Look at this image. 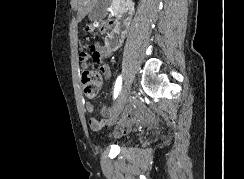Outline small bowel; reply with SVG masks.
Masks as SVG:
<instances>
[{"instance_id": "c3829d8e", "label": "small bowel", "mask_w": 244, "mask_h": 179, "mask_svg": "<svg viewBox=\"0 0 244 179\" xmlns=\"http://www.w3.org/2000/svg\"><path fill=\"white\" fill-rule=\"evenodd\" d=\"M122 42L110 46L107 43H101L100 41H95L94 43L88 45V50L92 55L95 56L97 60H104L110 58L114 51L120 47ZM103 79L108 81L112 77L111 66L108 63H102L100 66ZM87 112L94 113L95 107L91 103L85 105ZM137 111L132 109H126L123 113V119L119 122V128L117 132H123L125 127H127L132 120L137 117ZM115 114L113 109L104 106L101 110V118H93L90 120V127L93 130H99L104 126H109L112 124L111 117Z\"/></svg>"}]
</instances>
